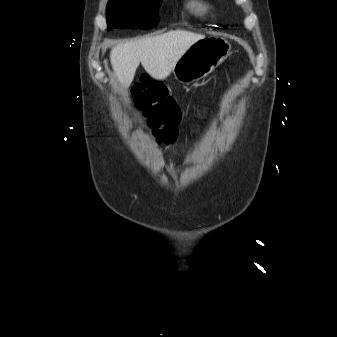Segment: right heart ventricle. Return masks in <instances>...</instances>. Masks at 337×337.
I'll use <instances>...</instances> for the list:
<instances>
[{"instance_id":"right-heart-ventricle-1","label":"right heart ventricle","mask_w":337,"mask_h":337,"mask_svg":"<svg viewBox=\"0 0 337 337\" xmlns=\"http://www.w3.org/2000/svg\"><path fill=\"white\" fill-rule=\"evenodd\" d=\"M188 8L200 18H205L210 11V4L206 0H190Z\"/></svg>"}]
</instances>
